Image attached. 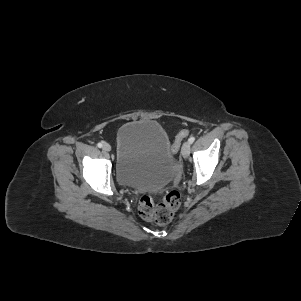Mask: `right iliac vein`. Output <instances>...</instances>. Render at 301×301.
Instances as JSON below:
<instances>
[{"label":"right iliac vein","mask_w":301,"mask_h":301,"mask_svg":"<svg viewBox=\"0 0 301 301\" xmlns=\"http://www.w3.org/2000/svg\"><path fill=\"white\" fill-rule=\"evenodd\" d=\"M103 150L106 152L111 151V146L108 143H104L102 146Z\"/></svg>","instance_id":"63e3f726"}]
</instances>
